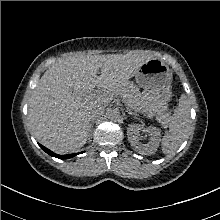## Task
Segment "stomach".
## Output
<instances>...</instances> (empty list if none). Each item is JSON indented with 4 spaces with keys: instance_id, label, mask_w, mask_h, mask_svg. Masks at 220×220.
<instances>
[{
    "instance_id": "stomach-1",
    "label": "stomach",
    "mask_w": 220,
    "mask_h": 220,
    "mask_svg": "<svg viewBox=\"0 0 220 220\" xmlns=\"http://www.w3.org/2000/svg\"><path fill=\"white\" fill-rule=\"evenodd\" d=\"M135 80L145 89L135 109L148 112L152 111L153 103L165 105L171 100L172 72L164 61L149 59L136 72Z\"/></svg>"
}]
</instances>
